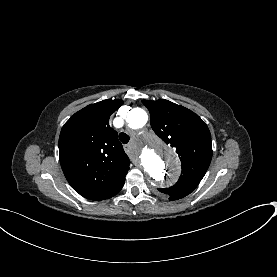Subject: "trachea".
<instances>
[{
	"instance_id": "trachea-1",
	"label": "trachea",
	"mask_w": 277,
	"mask_h": 277,
	"mask_svg": "<svg viewBox=\"0 0 277 277\" xmlns=\"http://www.w3.org/2000/svg\"><path fill=\"white\" fill-rule=\"evenodd\" d=\"M119 139H120V141H121L123 144H126V143L129 142L130 137H129V135H127L126 133H120V134H119Z\"/></svg>"
}]
</instances>
